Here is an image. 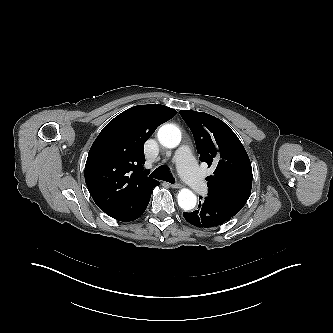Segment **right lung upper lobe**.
Instances as JSON below:
<instances>
[{"label": "right lung upper lobe", "mask_w": 333, "mask_h": 333, "mask_svg": "<svg viewBox=\"0 0 333 333\" xmlns=\"http://www.w3.org/2000/svg\"><path fill=\"white\" fill-rule=\"evenodd\" d=\"M176 114L165 105H138L103 128L85 165V182L102 211L121 210L135 194L158 183L144 171V143L160 124Z\"/></svg>", "instance_id": "obj_1"}]
</instances>
